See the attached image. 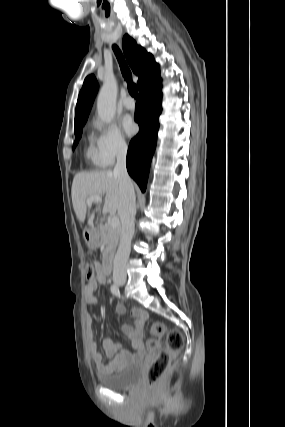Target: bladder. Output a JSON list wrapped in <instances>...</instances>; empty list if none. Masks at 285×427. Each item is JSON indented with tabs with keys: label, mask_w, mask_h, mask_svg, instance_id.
Here are the masks:
<instances>
[{
	"label": "bladder",
	"mask_w": 285,
	"mask_h": 427,
	"mask_svg": "<svg viewBox=\"0 0 285 427\" xmlns=\"http://www.w3.org/2000/svg\"><path fill=\"white\" fill-rule=\"evenodd\" d=\"M142 363L136 361L116 372L100 374L98 381L112 390H124L135 387L141 378Z\"/></svg>",
	"instance_id": "obj_1"
}]
</instances>
